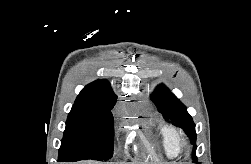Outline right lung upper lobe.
Wrapping results in <instances>:
<instances>
[{"label":"right lung upper lobe","instance_id":"cb5924a9","mask_svg":"<svg viewBox=\"0 0 251 164\" xmlns=\"http://www.w3.org/2000/svg\"><path fill=\"white\" fill-rule=\"evenodd\" d=\"M116 98L108 81L96 80L81 90L75 102L107 107L114 106Z\"/></svg>","mask_w":251,"mask_h":164}]
</instances>
